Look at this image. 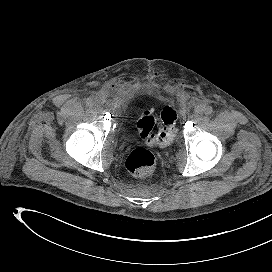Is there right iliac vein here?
I'll use <instances>...</instances> for the list:
<instances>
[{
  "label": "right iliac vein",
  "mask_w": 272,
  "mask_h": 272,
  "mask_svg": "<svg viewBox=\"0 0 272 272\" xmlns=\"http://www.w3.org/2000/svg\"><path fill=\"white\" fill-rule=\"evenodd\" d=\"M101 106H102V105H101L100 100H96L95 103H94L95 109L101 110Z\"/></svg>",
  "instance_id": "63e3f726"
}]
</instances>
